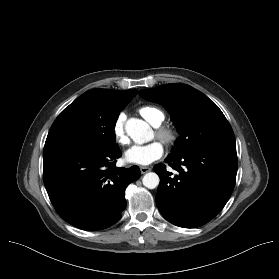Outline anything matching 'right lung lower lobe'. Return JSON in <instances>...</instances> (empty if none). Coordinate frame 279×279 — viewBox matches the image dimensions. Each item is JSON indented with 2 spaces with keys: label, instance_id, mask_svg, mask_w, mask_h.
Listing matches in <instances>:
<instances>
[{
  "label": "right lung lower lobe",
  "instance_id": "right-lung-lower-lobe-1",
  "mask_svg": "<svg viewBox=\"0 0 279 279\" xmlns=\"http://www.w3.org/2000/svg\"><path fill=\"white\" fill-rule=\"evenodd\" d=\"M120 148L107 152L62 147L43 153V178L60 217L83 230L115 224L126 207L125 188L140 177L138 166L115 167Z\"/></svg>",
  "mask_w": 279,
  "mask_h": 279
}]
</instances>
